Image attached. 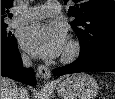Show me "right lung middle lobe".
I'll return each instance as SVG.
<instances>
[{"label": "right lung middle lobe", "mask_w": 115, "mask_h": 99, "mask_svg": "<svg viewBox=\"0 0 115 99\" xmlns=\"http://www.w3.org/2000/svg\"><path fill=\"white\" fill-rule=\"evenodd\" d=\"M7 24L1 22V44L12 41L15 37L11 33L6 32Z\"/></svg>", "instance_id": "dd1d6c3e"}]
</instances>
